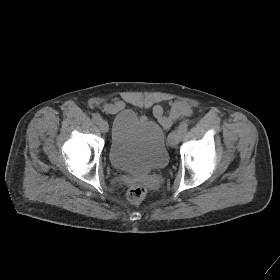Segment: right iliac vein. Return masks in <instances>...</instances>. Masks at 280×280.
Wrapping results in <instances>:
<instances>
[{
	"label": "right iliac vein",
	"mask_w": 280,
	"mask_h": 280,
	"mask_svg": "<svg viewBox=\"0 0 280 280\" xmlns=\"http://www.w3.org/2000/svg\"><path fill=\"white\" fill-rule=\"evenodd\" d=\"M99 129H100V131H101L102 133L108 132V130H109L108 123H107L106 121H103V120H102V121L99 123Z\"/></svg>",
	"instance_id": "right-iliac-vein-1"
}]
</instances>
